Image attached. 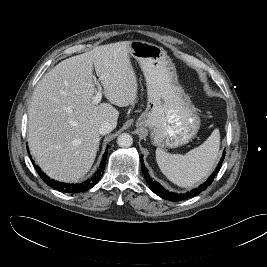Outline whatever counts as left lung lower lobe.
<instances>
[{
  "instance_id": "left-lung-lower-lobe-1",
  "label": "left lung lower lobe",
  "mask_w": 267,
  "mask_h": 267,
  "mask_svg": "<svg viewBox=\"0 0 267 267\" xmlns=\"http://www.w3.org/2000/svg\"><path fill=\"white\" fill-rule=\"evenodd\" d=\"M224 157H225V153L223 154L215 172L208 178V180L206 182H204L198 188L193 189L191 192H187L185 194H175V193L169 192L166 189H164L158 182L153 181L152 178L149 176L148 170L146 169V167L143 163V159H141V164H142V171L145 175V179H146L147 183L149 184L150 189L155 194H157L161 198H164L167 200L181 201V200H185V199H188L190 197H194V196L198 195L200 192L204 191L212 183L213 179L216 176V173H218V171L220 170V167L222 165Z\"/></svg>"
}]
</instances>
